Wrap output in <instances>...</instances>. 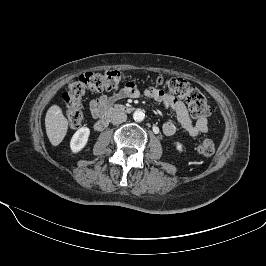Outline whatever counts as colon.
<instances>
[{"instance_id":"colon-1","label":"colon","mask_w":266,"mask_h":266,"mask_svg":"<svg viewBox=\"0 0 266 266\" xmlns=\"http://www.w3.org/2000/svg\"><path fill=\"white\" fill-rule=\"evenodd\" d=\"M125 75L118 70L104 72H86L69 84L62 95L66 104V119L70 128H78L83 121L82 99L88 92L114 90L124 81ZM157 84L168 90L173 96L183 99L196 117H207L210 107L204 94L187 81L180 78H158ZM196 150L203 156H211L215 151V142L205 138L198 142Z\"/></svg>"}]
</instances>
